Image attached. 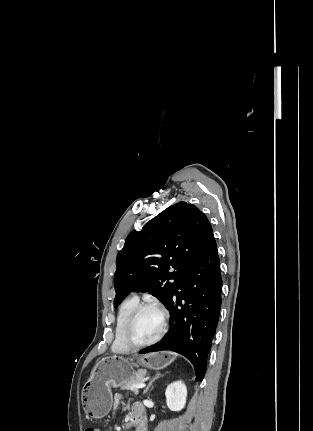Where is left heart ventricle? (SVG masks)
<instances>
[{
    "mask_svg": "<svg viewBox=\"0 0 313 431\" xmlns=\"http://www.w3.org/2000/svg\"><path fill=\"white\" fill-rule=\"evenodd\" d=\"M162 325L160 313L154 308L144 309L135 322L131 336L137 343H143L154 338Z\"/></svg>",
    "mask_w": 313,
    "mask_h": 431,
    "instance_id": "b2bd125f",
    "label": "left heart ventricle"
}]
</instances>
